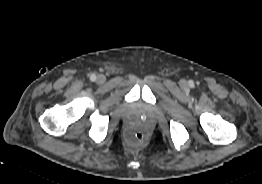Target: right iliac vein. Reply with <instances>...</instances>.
I'll return each mask as SVG.
<instances>
[{"label": "right iliac vein", "instance_id": "right-iliac-vein-1", "mask_svg": "<svg viewBox=\"0 0 262 184\" xmlns=\"http://www.w3.org/2000/svg\"><path fill=\"white\" fill-rule=\"evenodd\" d=\"M105 76L104 75H98L97 82L98 83H104L105 82Z\"/></svg>", "mask_w": 262, "mask_h": 184}]
</instances>
